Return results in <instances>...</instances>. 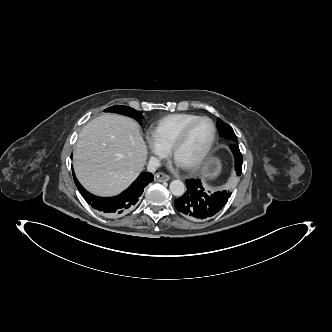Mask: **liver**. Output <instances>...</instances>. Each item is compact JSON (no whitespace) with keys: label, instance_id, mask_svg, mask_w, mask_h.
I'll return each mask as SVG.
<instances>
[{"label":"liver","instance_id":"obj_1","mask_svg":"<svg viewBox=\"0 0 332 332\" xmlns=\"http://www.w3.org/2000/svg\"><path fill=\"white\" fill-rule=\"evenodd\" d=\"M147 147L130 118L104 114L87 123L74 152V170L80 183L98 196H115L143 170Z\"/></svg>","mask_w":332,"mask_h":332}]
</instances>
